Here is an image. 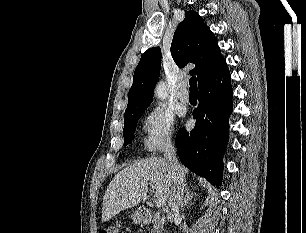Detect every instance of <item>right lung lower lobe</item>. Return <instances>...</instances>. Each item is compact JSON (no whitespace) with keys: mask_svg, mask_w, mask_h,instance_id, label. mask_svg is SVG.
<instances>
[{"mask_svg":"<svg viewBox=\"0 0 306 233\" xmlns=\"http://www.w3.org/2000/svg\"><path fill=\"white\" fill-rule=\"evenodd\" d=\"M199 104L191 132L180 129L175 143L180 161L214 185L222 183V157L229 138L228 118L232 113L231 76L228 67L199 86Z\"/></svg>","mask_w":306,"mask_h":233,"instance_id":"right-lung-lower-lobe-1","label":"right lung lower lobe"}]
</instances>
